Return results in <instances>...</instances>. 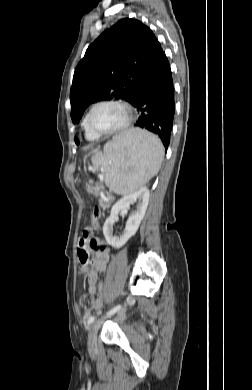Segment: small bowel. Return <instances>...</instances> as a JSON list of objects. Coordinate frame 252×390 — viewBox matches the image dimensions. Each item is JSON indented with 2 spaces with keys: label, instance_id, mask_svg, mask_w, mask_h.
Listing matches in <instances>:
<instances>
[{
  "label": "small bowel",
  "instance_id": "small-bowel-1",
  "mask_svg": "<svg viewBox=\"0 0 252 390\" xmlns=\"http://www.w3.org/2000/svg\"><path fill=\"white\" fill-rule=\"evenodd\" d=\"M92 252L94 256L90 259ZM77 253L80 263L82 255L86 254L88 256V260L84 264L89 272L88 290L92 295H96L98 291V295L94 298V309L99 310L103 304L104 285L101 283L97 287L98 276L99 273L106 270L110 258L109 249L103 241L92 233V230L87 229L79 239Z\"/></svg>",
  "mask_w": 252,
  "mask_h": 390
}]
</instances>
